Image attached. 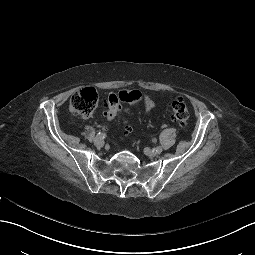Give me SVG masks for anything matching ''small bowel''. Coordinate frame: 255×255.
I'll list each match as a JSON object with an SVG mask.
<instances>
[{"instance_id": "1", "label": "small bowel", "mask_w": 255, "mask_h": 255, "mask_svg": "<svg viewBox=\"0 0 255 255\" xmlns=\"http://www.w3.org/2000/svg\"><path fill=\"white\" fill-rule=\"evenodd\" d=\"M143 105L146 111H151L157 104L152 97L146 95L143 97Z\"/></svg>"}]
</instances>
